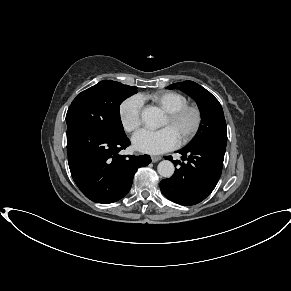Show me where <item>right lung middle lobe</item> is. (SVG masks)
I'll use <instances>...</instances> for the list:
<instances>
[{"mask_svg":"<svg viewBox=\"0 0 291 291\" xmlns=\"http://www.w3.org/2000/svg\"><path fill=\"white\" fill-rule=\"evenodd\" d=\"M137 87L103 80L77 95L67 114V128L81 127L104 136L124 135L119 106Z\"/></svg>","mask_w":291,"mask_h":291,"instance_id":"obj_1","label":"right lung middle lobe"}]
</instances>
